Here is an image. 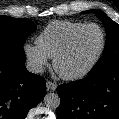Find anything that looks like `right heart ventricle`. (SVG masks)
Wrapping results in <instances>:
<instances>
[{"instance_id":"right-heart-ventricle-1","label":"right heart ventricle","mask_w":119,"mask_h":119,"mask_svg":"<svg viewBox=\"0 0 119 119\" xmlns=\"http://www.w3.org/2000/svg\"><path fill=\"white\" fill-rule=\"evenodd\" d=\"M85 23L69 20H57L49 23L36 39L37 46L53 58L63 47L71 34Z\"/></svg>"}]
</instances>
